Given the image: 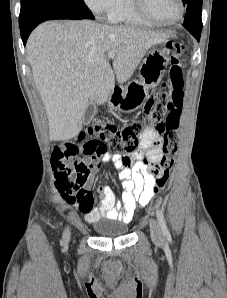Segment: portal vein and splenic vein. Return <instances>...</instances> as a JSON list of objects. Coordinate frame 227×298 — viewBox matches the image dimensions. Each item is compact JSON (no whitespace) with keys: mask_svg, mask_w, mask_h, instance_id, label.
I'll return each mask as SVG.
<instances>
[{"mask_svg":"<svg viewBox=\"0 0 227 298\" xmlns=\"http://www.w3.org/2000/svg\"><path fill=\"white\" fill-rule=\"evenodd\" d=\"M115 58V52L114 51H110L107 53V59L111 60Z\"/></svg>","mask_w":227,"mask_h":298,"instance_id":"portal-vein-and-splenic-vein-1","label":"portal vein and splenic vein"}]
</instances>
